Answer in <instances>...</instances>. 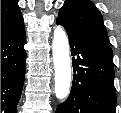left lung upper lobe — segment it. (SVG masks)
<instances>
[{"mask_svg":"<svg viewBox=\"0 0 121 113\" xmlns=\"http://www.w3.org/2000/svg\"><path fill=\"white\" fill-rule=\"evenodd\" d=\"M58 18L76 34L92 42L113 58L102 15L91 1L66 0Z\"/></svg>","mask_w":121,"mask_h":113,"instance_id":"obj_1","label":"left lung upper lobe"}]
</instances>
